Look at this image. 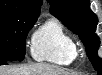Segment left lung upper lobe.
Returning a JSON list of instances; mask_svg holds the SVG:
<instances>
[{
    "instance_id": "5c2ea615",
    "label": "left lung upper lobe",
    "mask_w": 102,
    "mask_h": 75,
    "mask_svg": "<svg viewBox=\"0 0 102 75\" xmlns=\"http://www.w3.org/2000/svg\"><path fill=\"white\" fill-rule=\"evenodd\" d=\"M48 2L51 5L50 12L82 40L94 69L101 74L102 59L97 56L100 41L94 33L98 19L89 8V0H48Z\"/></svg>"
}]
</instances>
